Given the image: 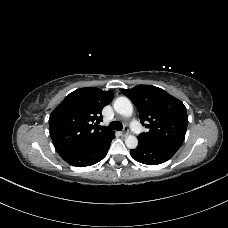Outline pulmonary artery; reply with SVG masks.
<instances>
[{
  "mask_svg": "<svg viewBox=\"0 0 228 228\" xmlns=\"http://www.w3.org/2000/svg\"><path fill=\"white\" fill-rule=\"evenodd\" d=\"M130 126L133 130H137L139 124L137 121L133 120L131 123H130Z\"/></svg>",
  "mask_w": 228,
  "mask_h": 228,
  "instance_id": "e3ab8cb5",
  "label": "pulmonary artery"
}]
</instances>
